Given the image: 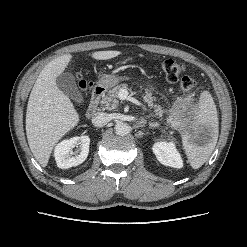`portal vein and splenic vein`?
Returning a JSON list of instances; mask_svg holds the SVG:
<instances>
[{
	"label": "portal vein and splenic vein",
	"instance_id": "1",
	"mask_svg": "<svg viewBox=\"0 0 247 247\" xmlns=\"http://www.w3.org/2000/svg\"><path fill=\"white\" fill-rule=\"evenodd\" d=\"M118 97L121 99V100H126L128 99V91L126 89H122L119 94H118Z\"/></svg>",
	"mask_w": 247,
	"mask_h": 247
}]
</instances>
